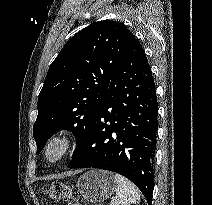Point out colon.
<instances>
[{
    "instance_id": "obj_1",
    "label": "colon",
    "mask_w": 212,
    "mask_h": 205,
    "mask_svg": "<svg viewBox=\"0 0 212 205\" xmlns=\"http://www.w3.org/2000/svg\"><path fill=\"white\" fill-rule=\"evenodd\" d=\"M45 194L49 199L65 202L67 205H81L69 185L62 182L52 183Z\"/></svg>"
}]
</instances>
